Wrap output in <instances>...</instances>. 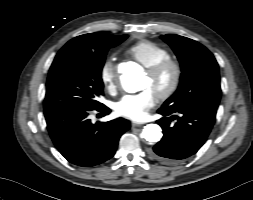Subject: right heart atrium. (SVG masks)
<instances>
[{
  "instance_id": "d8ad5b80",
  "label": "right heart atrium",
  "mask_w": 253,
  "mask_h": 200,
  "mask_svg": "<svg viewBox=\"0 0 253 200\" xmlns=\"http://www.w3.org/2000/svg\"><path fill=\"white\" fill-rule=\"evenodd\" d=\"M100 79L109 92H114L118 82V71L115 62L108 58L100 68Z\"/></svg>"
}]
</instances>
